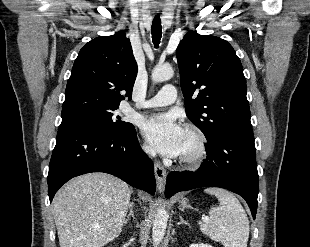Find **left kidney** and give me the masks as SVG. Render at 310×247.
<instances>
[{"label": "left kidney", "instance_id": "left-kidney-1", "mask_svg": "<svg viewBox=\"0 0 310 247\" xmlns=\"http://www.w3.org/2000/svg\"><path fill=\"white\" fill-rule=\"evenodd\" d=\"M190 247H212L211 245L208 244H192Z\"/></svg>", "mask_w": 310, "mask_h": 247}]
</instances>
